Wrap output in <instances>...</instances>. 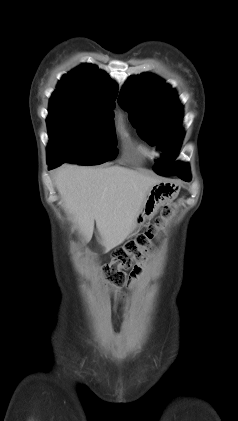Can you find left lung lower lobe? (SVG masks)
I'll return each mask as SVG.
<instances>
[{"mask_svg":"<svg viewBox=\"0 0 238 421\" xmlns=\"http://www.w3.org/2000/svg\"><path fill=\"white\" fill-rule=\"evenodd\" d=\"M173 175H180L179 178L183 179L184 181H190L191 180V175L189 173V170L182 173V174H176V172H169L164 176H173Z\"/></svg>","mask_w":238,"mask_h":421,"instance_id":"obj_1","label":"left lung lower lobe"}]
</instances>
